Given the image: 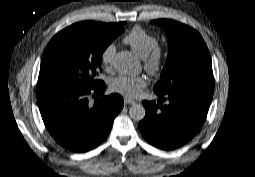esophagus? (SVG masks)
I'll return each instance as SVG.
<instances>
[{
	"label": "esophagus",
	"mask_w": 255,
	"mask_h": 177,
	"mask_svg": "<svg viewBox=\"0 0 255 177\" xmlns=\"http://www.w3.org/2000/svg\"><path fill=\"white\" fill-rule=\"evenodd\" d=\"M124 103H125V105H127V104H135V101L131 100V99H128V98H124Z\"/></svg>",
	"instance_id": "esophagus-1"
}]
</instances>
